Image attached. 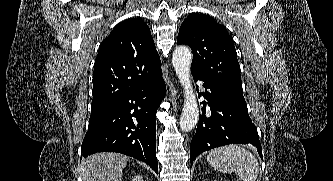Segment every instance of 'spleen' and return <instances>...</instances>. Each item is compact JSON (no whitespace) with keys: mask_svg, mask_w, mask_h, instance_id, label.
<instances>
[{"mask_svg":"<svg viewBox=\"0 0 333 181\" xmlns=\"http://www.w3.org/2000/svg\"><path fill=\"white\" fill-rule=\"evenodd\" d=\"M206 159L214 169L223 173L235 172L242 181H256L259 174L256 157L239 145L216 148L209 152Z\"/></svg>","mask_w":333,"mask_h":181,"instance_id":"obj_1","label":"spleen"}]
</instances>
